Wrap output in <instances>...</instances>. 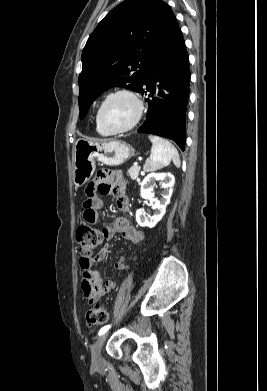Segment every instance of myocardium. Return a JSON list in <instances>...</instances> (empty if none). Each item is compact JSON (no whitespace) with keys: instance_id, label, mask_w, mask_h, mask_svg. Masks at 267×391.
Masks as SVG:
<instances>
[{"instance_id":"1","label":"myocardium","mask_w":267,"mask_h":391,"mask_svg":"<svg viewBox=\"0 0 267 391\" xmlns=\"http://www.w3.org/2000/svg\"><path fill=\"white\" fill-rule=\"evenodd\" d=\"M119 95L127 96L134 102V104L136 106V114H135L133 120L127 126L122 127V128H111L103 120V116H102L103 108H104L105 104L111 98H113L115 96H119ZM143 112H144V105H143L141 98L137 95V93H135L133 90H130L127 88H120V89H116L114 91H111L103 98V100L101 101V103L98 107L96 117H97L99 125L105 131H107L110 134H118V133L127 132V131L133 129L141 120Z\"/></svg>"}]
</instances>
